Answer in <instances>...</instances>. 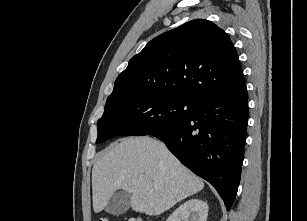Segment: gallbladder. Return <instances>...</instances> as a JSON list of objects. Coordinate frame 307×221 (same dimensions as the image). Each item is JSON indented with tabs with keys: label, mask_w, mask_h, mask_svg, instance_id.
<instances>
[{
	"label": "gallbladder",
	"mask_w": 307,
	"mask_h": 221,
	"mask_svg": "<svg viewBox=\"0 0 307 221\" xmlns=\"http://www.w3.org/2000/svg\"><path fill=\"white\" fill-rule=\"evenodd\" d=\"M130 206V194L126 191H117L110 198L109 202L106 205V212L119 216L125 213Z\"/></svg>",
	"instance_id": "bac80fb5"
}]
</instances>
